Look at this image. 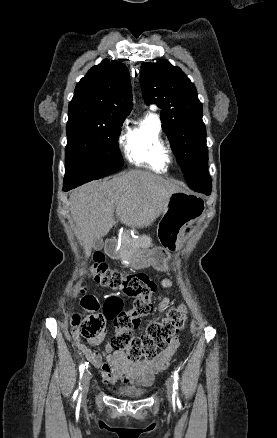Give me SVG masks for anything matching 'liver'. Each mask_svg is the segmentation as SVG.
Listing matches in <instances>:
<instances>
[{
  "instance_id": "obj_1",
  "label": "liver",
  "mask_w": 277,
  "mask_h": 438,
  "mask_svg": "<svg viewBox=\"0 0 277 438\" xmlns=\"http://www.w3.org/2000/svg\"><path fill=\"white\" fill-rule=\"evenodd\" d=\"M174 192V184L142 170H131L108 182H90L72 190L71 214L85 258L91 256L96 240L107 236L115 226L116 218L129 228L151 226Z\"/></svg>"
}]
</instances>
